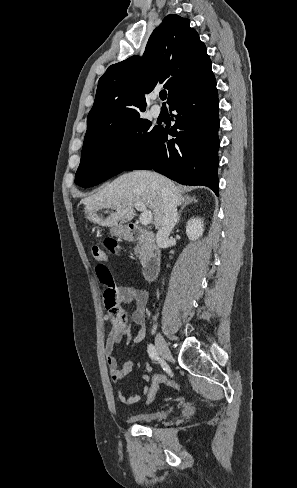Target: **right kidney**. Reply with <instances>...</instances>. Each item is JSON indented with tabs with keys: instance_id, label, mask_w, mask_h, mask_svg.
<instances>
[{
	"instance_id": "ca27d5eb",
	"label": "right kidney",
	"mask_w": 297,
	"mask_h": 488,
	"mask_svg": "<svg viewBox=\"0 0 297 488\" xmlns=\"http://www.w3.org/2000/svg\"><path fill=\"white\" fill-rule=\"evenodd\" d=\"M204 232V224L201 218H191L186 225V234L192 241H196L202 237Z\"/></svg>"
}]
</instances>
